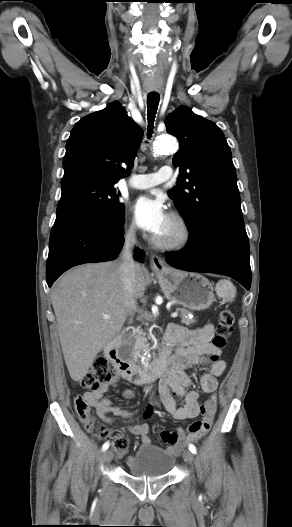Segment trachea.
Wrapping results in <instances>:
<instances>
[{"label":"trachea","mask_w":292,"mask_h":527,"mask_svg":"<svg viewBox=\"0 0 292 527\" xmlns=\"http://www.w3.org/2000/svg\"><path fill=\"white\" fill-rule=\"evenodd\" d=\"M159 104V94L149 93L147 96V119H148V136L153 133V123Z\"/></svg>","instance_id":"obj_1"}]
</instances>
